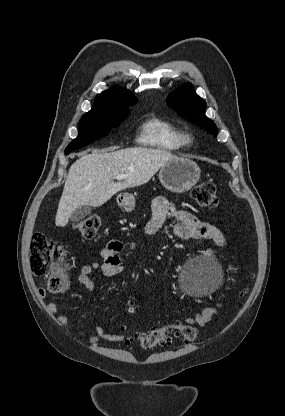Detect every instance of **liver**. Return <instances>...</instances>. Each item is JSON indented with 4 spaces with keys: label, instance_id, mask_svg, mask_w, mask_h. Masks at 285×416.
Here are the masks:
<instances>
[{
    "label": "liver",
    "instance_id": "liver-1",
    "mask_svg": "<svg viewBox=\"0 0 285 416\" xmlns=\"http://www.w3.org/2000/svg\"><path fill=\"white\" fill-rule=\"evenodd\" d=\"M87 152L68 172L55 218L60 228L67 226L71 214L78 208L103 206L117 192L147 184L164 164L178 160L171 152L154 148H126L110 154L105 150ZM117 174H126L127 178L124 182H113Z\"/></svg>",
    "mask_w": 285,
    "mask_h": 416
}]
</instances>
